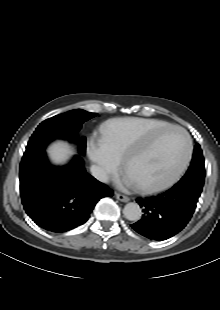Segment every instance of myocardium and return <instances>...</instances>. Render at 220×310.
<instances>
[{"label":"myocardium","instance_id":"myocardium-1","mask_svg":"<svg viewBox=\"0 0 220 310\" xmlns=\"http://www.w3.org/2000/svg\"><path fill=\"white\" fill-rule=\"evenodd\" d=\"M175 132V133H179L181 134L184 139H185V143H186V148H185V154L183 157V160L180 164V166L177 168V170L174 172V174L166 181L158 184L157 186L153 187V188H148V191H153V190H158V189H162L165 188L167 186L170 185V183H172V181L174 179H176V177L179 175V173L183 170V168L186 166L189 157H190V152H191V139L189 137V135L182 129L180 128H176V127H167L165 128V132ZM131 163V157H127L124 161V168H127L129 166V164Z\"/></svg>","mask_w":220,"mask_h":310}]
</instances>
